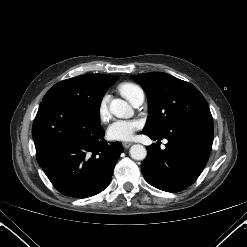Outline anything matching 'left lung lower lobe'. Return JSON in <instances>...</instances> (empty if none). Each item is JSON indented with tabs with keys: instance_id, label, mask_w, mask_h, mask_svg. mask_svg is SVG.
Masks as SVG:
<instances>
[{
	"instance_id": "left-lung-lower-lobe-1",
	"label": "left lung lower lobe",
	"mask_w": 247,
	"mask_h": 247,
	"mask_svg": "<svg viewBox=\"0 0 247 247\" xmlns=\"http://www.w3.org/2000/svg\"><path fill=\"white\" fill-rule=\"evenodd\" d=\"M144 134L153 140H168L164 150L156 144L146 147L148 154L142 164L144 178L160 190L178 192L193 184L207 163L214 137L213 119L196 118L162 136Z\"/></svg>"
}]
</instances>
